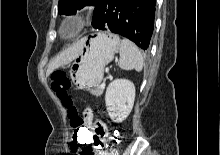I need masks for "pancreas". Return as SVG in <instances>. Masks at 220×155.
<instances>
[{"instance_id":"1","label":"pancreas","mask_w":220,"mask_h":155,"mask_svg":"<svg viewBox=\"0 0 220 155\" xmlns=\"http://www.w3.org/2000/svg\"><path fill=\"white\" fill-rule=\"evenodd\" d=\"M102 93H103V89H101V88H97L94 91H92V94L95 96H101Z\"/></svg>"}]
</instances>
